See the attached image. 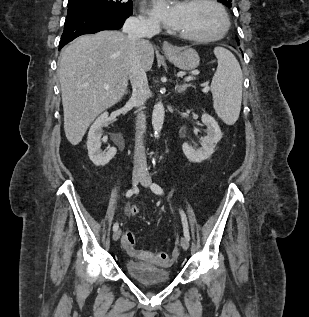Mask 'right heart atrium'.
<instances>
[{"mask_svg": "<svg viewBox=\"0 0 309 317\" xmlns=\"http://www.w3.org/2000/svg\"><path fill=\"white\" fill-rule=\"evenodd\" d=\"M139 24L148 30H154L158 28V23L152 18H146L144 16L139 17Z\"/></svg>", "mask_w": 309, "mask_h": 317, "instance_id": "obj_1", "label": "right heart atrium"}]
</instances>
